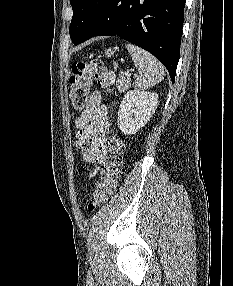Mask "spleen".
<instances>
[{"instance_id":"obj_1","label":"spleen","mask_w":233,"mask_h":286,"mask_svg":"<svg viewBox=\"0 0 233 286\" xmlns=\"http://www.w3.org/2000/svg\"><path fill=\"white\" fill-rule=\"evenodd\" d=\"M126 48L131 54L135 67L139 71L134 87L136 90L143 91L153 87L164 78V67L158 59L149 52L133 45L126 44Z\"/></svg>"}]
</instances>
